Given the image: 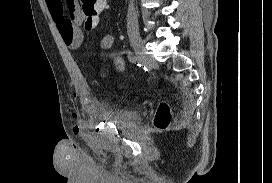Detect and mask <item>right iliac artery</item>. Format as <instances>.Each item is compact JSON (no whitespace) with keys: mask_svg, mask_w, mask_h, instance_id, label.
Here are the masks:
<instances>
[{"mask_svg":"<svg viewBox=\"0 0 272 183\" xmlns=\"http://www.w3.org/2000/svg\"><path fill=\"white\" fill-rule=\"evenodd\" d=\"M128 59L131 63H136L137 61L136 55H134V53L131 51L128 52Z\"/></svg>","mask_w":272,"mask_h":183,"instance_id":"obj_1","label":"right iliac artery"}]
</instances>
